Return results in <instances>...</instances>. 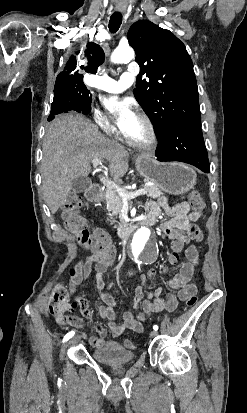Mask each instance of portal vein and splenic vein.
<instances>
[{"label": "portal vein and splenic vein", "mask_w": 247, "mask_h": 413, "mask_svg": "<svg viewBox=\"0 0 247 413\" xmlns=\"http://www.w3.org/2000/svg\"><path fill=\"white\" fill-rule=\"evenodd\" d=\"M101 160L99 158H93L92 164L94 166V170H98L97 166L100 164ZM101 182L106 184L107 188H116L117 192H119L120 196L123 198H136V196H140V194H147V190L145 188H139V190H133V192H128L126 188H121L119 184H115L113 180H109L107 176H100Z\"/></svg>", "instance_id": "obj_1"}]
</instances>
